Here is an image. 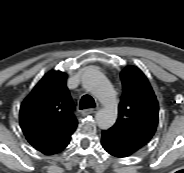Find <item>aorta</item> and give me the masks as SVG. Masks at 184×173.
<instances>
[{"label": "aorta", "mask_w": 184, "mask_h": 173, "mask_svg": "<svg viewBox=\"0 0 184 173\" xmlns=\"http://www.w3.org/2000/svg\"><path fill=\"white\" fill-rule=\"evenodd\" d=\"M83 86L102 103L95 116L96 123L101 129H108L114 125L117 119L116 93L106 77L96 68H87L82 76Z\"/></svg>", "instance_id": "1"}]
</instances>
